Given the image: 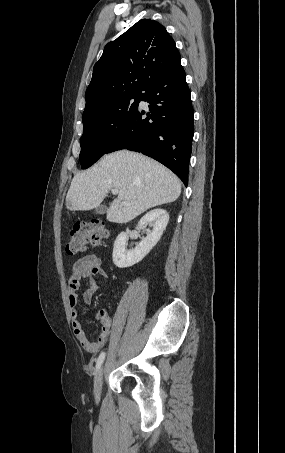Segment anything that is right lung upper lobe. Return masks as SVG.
Returning <instances> with one entry per match:
<instances>
[{"instance_id": "1", "label": "right lung upper lobe", "mask_w": 285, "mask_h": 453, "mask_svg": "<svg viewBox=\"0 0 285 453\" xmlns=\"http://www.w3.org/2000/svg\"><path fill=\"white\" fill-rule=\"evenodd\" d=\"M175 42L159 22L142 19L108 43L86 90L87 112L114 97L142 93L147 83L180 63Z\"/></svg>"}]
</instances>
